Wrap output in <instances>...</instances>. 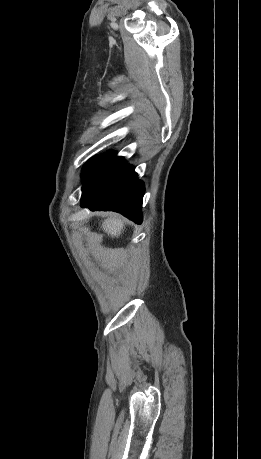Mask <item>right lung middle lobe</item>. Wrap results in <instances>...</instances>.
Wrapping results in <instances>:
<instances>
[{
	"label": "right lung middle lobe",
	"mask_w": 261,
	"mask_h": 459,
	"mask_svg": "<svg viewBox=\"0 0 261 459\" xmlns=\"http://www.w3.org/2000/svg\"><path fill=\"white\" fill-rule=\"evenodd\" d=\"M125 163L123 157H117L111 152L102 157L90 159L82 171V199L90 196L96 188Z\"/></svg>",
	"instance_id": "right-lung-middle-lobe-1"
}]
</instances>
